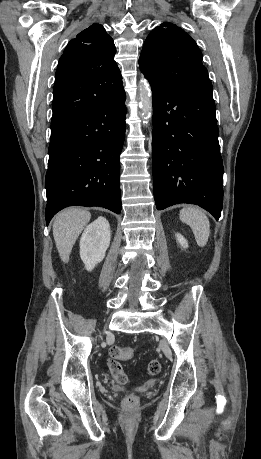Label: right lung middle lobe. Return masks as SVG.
Segmentation results:
<instances>
[{"label": "right lung middle lobe", "mask_w": 261, "mask_h": 459, "mask_svg": "<svg viewBox=\"0 0 261 459\" xmlns=\"http://www.w3.org/2000/svg\"><path fill=\"white\" fill-rule=\"evenodd\" d=\"M59 128H61V127H58V126L57 127H51V132H54V131L58 130Z\"/></svg>", "instance_id": "1"}]
</instances>
